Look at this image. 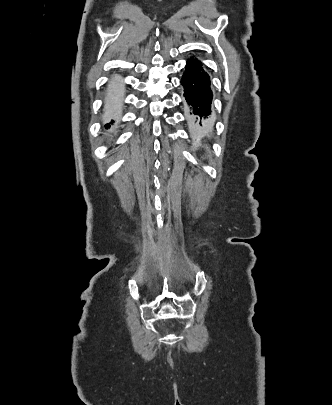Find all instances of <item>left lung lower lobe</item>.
Returning <instances> with one entry per match:
<instances>
[{
    "mask_svg": "<svg viewBox=\"0 0 332 405\" xmlns=\"http://www.w3.org/2000/svg\"><path fill=\"white\" fill-rule=\"evenodd\" d=\"M185 69L181 84L184 87L186 118L193 131L201 132L214 120L210 77L201 62L194 58L187 61Z\"/></svg>",
    "mask_w": 332,
    "mask_h": 405,
    "instance_id": "left-lung-lower-lobe-1",
    "label": "left lung lower lobe"
}]
</instances>
